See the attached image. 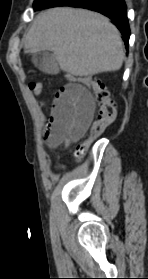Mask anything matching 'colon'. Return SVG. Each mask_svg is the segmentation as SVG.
I'll return each mask as SVG.
<instances>
[{
	"label": "colon",
	"instance_id": "5ec220e1",
	"mask_svg": "<svg viewBox=\"0 0 148 279\" xmlns=\"http://www.w3.org/2000/svg\"><path fill=\"white\" fill-rule=\"evenodd\" d=\"M70 80L72 83L80 84L92 90L94 94L95 103L97 106V116L90 129V137H96L100 135L116 119V104L112 100L107 88L99 78L90 75L85 77H72ZM29 88L35 95L43 97L44 99L48 98L45 87L42 83H30ZM85 151L86 148L82 147L78 151V158L82 157Z\"/></svg>",
	"mask_w": 148,
	"mask_h": 279
}]
</instances>
